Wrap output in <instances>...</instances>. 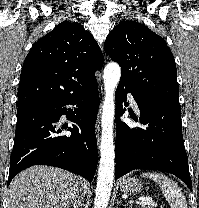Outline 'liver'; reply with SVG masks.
Wrapping results in <instances>:
<instances>
[{"label": "liver", "mask_w": 199, "mask_h": 208, "mask_svg": "<svg viewBox=\"0 0 199 208\" xmlns=\"http://www.w3.org/2000/svg\"><path fill=\"white\" fill-rule=\"evenodd\" d=\"M89 183L60 168L45 165L19 173L8 190V208H69L78 192H88Z\"/></svg>", "instance_id": "liver-1"}]
</instances>
